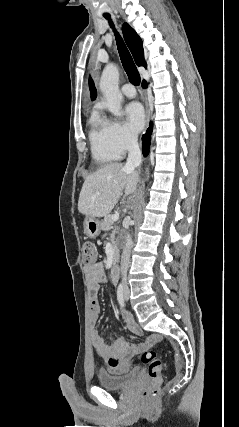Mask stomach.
I'll use <instances>...</instances> for the list:
<instances>
[{
    "mask_svg": "<svg viewBox=\"0 0 239 427\" xmlns=\"http://www.w3.org/2000/svg\"><path fill=\"white\" fill-rule=\"evenodd\" d=\"M85 234L90 238H96L101 232V222L92 216H87L84 220Z\"/></svg>",
    "mask_w": 239,
    "mask_h": 427,
    "instance_id": "0dacf381",
    "label": "stomach"
}]
</instances>
